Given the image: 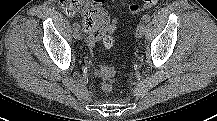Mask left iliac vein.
I'll list each match as a JSON object with an SVG mask.
<instances>
[{
	"label": "left iliac vein",
	"mask_w": 217,
	"mask_h": 121,
	"mask_svg": "<svg viewBox=\"0 0 217 121\" xmlns=\"http://www.w3.org/2000/svg\"><path fill=\"white\" fill-rule=\"evenodd\" d=\"M145 31H146L145 24L144 23L138 24V26L136 28V33H135L136 37L137 38L143 37Z\"/></svg>",
	"instance_id": "1"
}]
</instances>
